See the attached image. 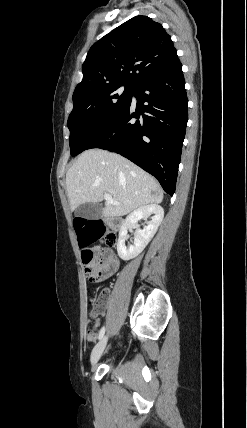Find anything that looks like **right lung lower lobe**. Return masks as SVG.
<instances>
[{"label":"right lung lower lobe","instance_id":"98d812e1","mask_svg":"<svg viewBox=\"0 0 247 428\" xmlns=\"http://www.w3.org/2000/svg\"><path fill=\"white\" fill-rule=\"evenodd\" d=\"M114 123L89 147L116 152L152 174L169 195L175 191L188 121V99L178 57L150 76Z\"/></svg>","mask_w":247,"mask_h":428}]
</instances>
